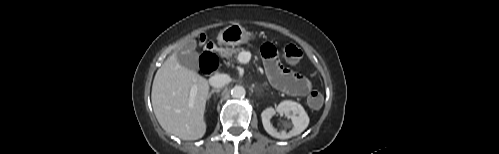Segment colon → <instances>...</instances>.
<instances>
[{"label": "colon", "mask_w": 499, "mask_h": 154, "mask_svg": "<svg viewBox=\"0 0 499 154\" xmlns=\"http://www.w3.org/2000/svg\"><path fill=\"white\" fill-rule=\"evenodd\" d=\"M213 70H216L219 66L218 57L215 54H209ZM302 58V51L296 45L290 44L284 48V59L289 64H296ZM308 104L312 108H319L323 104V96L317 91L313 90L308 95Z\"/></svg>", "instance_id": "5ec220e1"}]
</instances>
